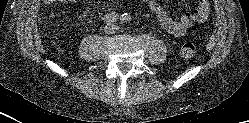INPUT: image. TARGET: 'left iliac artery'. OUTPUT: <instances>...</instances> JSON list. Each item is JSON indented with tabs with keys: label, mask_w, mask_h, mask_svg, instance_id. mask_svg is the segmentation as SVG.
<instances>
[{
	"label": "left iliac artery",
	"mask_w": 249,
	"mask_h": 123,
	"mask_svg": "<svg viewBox=\"0 0 249 123\" xmlns=\"http://www.w3.org/2000/svg\"><path fill=\"white\" fill-rule=\"evenodd\" d=\"M120 20L123 23H128V22L131 21V16L129 14H127V13H124V14L121 15Z\"/></svg>",
	"instance_id": "left-iliac-artery-1"
}]
</instances>
